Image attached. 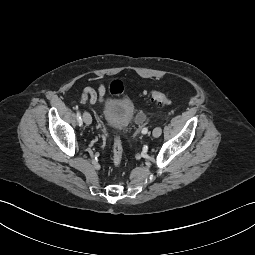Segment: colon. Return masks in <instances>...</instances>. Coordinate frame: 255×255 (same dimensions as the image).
<instances>
[{
  "label": "colon",
  "instance_id": "obj_1",
  "mask_svg": "<svg viewBox=\"0 0 255 255\" xmlns=\"http://www.w3.org/2000/svg\"><path fill=\"white\" fill-rule=\"evenodd\" d=\"M109 89L112 94L116 95L121 93L124 90V84L120 80H114L110 84ZM150 97L153 101L159 104L169 105L171 103L170 98L166 94L158 90L150 91ZM139 120L142 121L143 118L140 117ZM122 160H123V145H122V141L120 137L116 135L113 141V158H112L113 166L115 168H118L121 165Z\"/></svg>",
  "mask_w": 255,
  "mask_h": 255
}]
</instances>
